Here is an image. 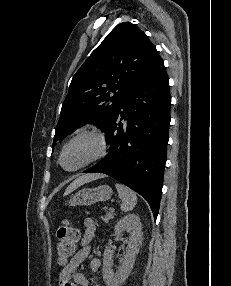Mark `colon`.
<instances>
[{
	"instance_id": "5ec220e1",
	"label": "colon",
	"mask_w": 231,
	"mask_h": 286,
	"mask_svg": "<svg viewBox=\"0 0 231 286\" xmlns=\"http://www.w3.org/2000/svg\"><path fill=\"white\" fill-rule=\"evenodd\" d=\"M79 238V230L74 224L67 219L64 220L57 230V255L59 264L65 265L74 255Z\"/></svg>"
}]
</instances>
